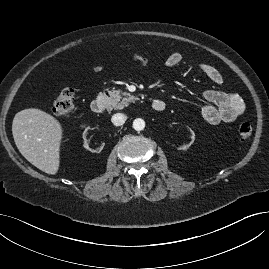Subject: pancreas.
<instances>
[{
	"mask_svg": "<svg viewBox=\"0 0 269 269\" xmlns=\"http://www.w3.org/2000/svg\"><path fill=\"white\" fill-rule=\"evenodd\" d=\"M109 96L107 108L110 110H121L124 107H127L129 103L137 100L135 96L121 90L109 91Z\"/></svg>",
	"mask_w": 269,
	"mask_h": 269,
	"instance_id": "cf45deb5",
	"label": "pancreas"
}]
</instances>
